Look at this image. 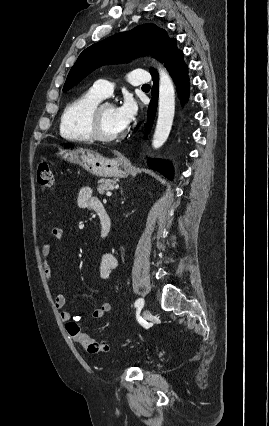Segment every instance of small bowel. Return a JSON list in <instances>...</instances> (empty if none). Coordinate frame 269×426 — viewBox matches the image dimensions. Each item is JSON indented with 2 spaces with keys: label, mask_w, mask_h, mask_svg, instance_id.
I'll return each mask as SVG.
<instances>
[{
  "label": "small bowel",
  "mask_w": 269,
  "mask_h": 426,
  "mask_svg": "<svg viewBox=\"0 0 269 426\" xmlns=\"http://www.w3.org/2000/svg\"><path fill=\"white\" fill-rule=\"evenodd\" d=\"M77 204L82 209H90L96 212V209L101 207V202L93 195V190L89 186H84L79 190L77 197ZM51 236L56 240H62L64 237V230L61 226H54L51 230ZM53 253V248L49 239H45L41 245V258L43 264L44 275L48 283L52 282L53 269L50 264V258ZM119 264L118 255L112 252L106 253L102 256L99 273L100 277L105 280L112 278L114 269ZM66 303V296L64 293L59 292L55 295L54 304L56 309L59 311V317L61 321L68 322L71 320L79 321L82 319L81 314H73L70 311L64 310ZM112 309V303L110 301L103 302L98 308H96L92 316L94 319H102Z\"/></svg>",
  "instance_id": "c3829d8e"
}]
</instances>
